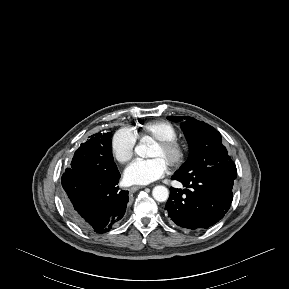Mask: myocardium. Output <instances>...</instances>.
<instances>
[{
  "label": "myocardium",
  "mask_w": 289,
  "mask_h": 289,
  "mask_svg": "<svg viewBox=\"0 0 289 289\" xmlns=\"http://www.w3.org/2000/svg\"><path fill=\"white\" fill-rule=\"evenodd\" d=\"M153 145L161 151L172 153V161L167 166L170 171L177 170L184 164L187 156V149L186 146L177 138L156 141L153 143Z\"/></svg>",
  "instance_id": "f54148a6"
}]
</instances>
